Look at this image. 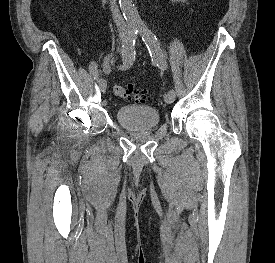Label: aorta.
I'll use <instances>...</instances> for the list:
<instances>
[{
  "mask_svg": "<svg viewBox=\"0 0 275 263\" xmlns=\"http://www.w3.org/2000/svg\"><path fill=\"white\" fill-rule=\"evenodd\" d=\"M119 4L128 26L135 29H144V24L138 14L133 0H119ZM144 32L145 36H151L148 31L144 30Z\"/></svg>",
  "mask_w": 275,
  "mask_h": 263,
  "instance_id": "obj_1",
  "label": "aorta"
}]
</instances>
